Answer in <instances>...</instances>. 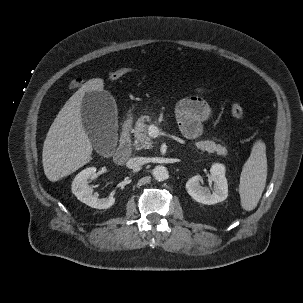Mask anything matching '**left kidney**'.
Masks as SVG:
<instances>
[{
  "mask_svg": "<svg viewBox=\"0 0 303 303\" xmlns=\"http://www.w3.org/2000/svg\"><path fill=\"white\" fill-rule=\"evenodd\" d=\"M203 181L201 175L190 178L186 183L188 194L197 202L203 204H216L224 201L228 196V184L225 177V166L220 163H214L208 175V181L213 182V192L208 187L201 186Z\"/></svg>",
  "mask_w": 303,
  "mask_h": 303,
  "instance_id": "left-kidney-1",
  "label": "left kidney"
}]
</instances>
